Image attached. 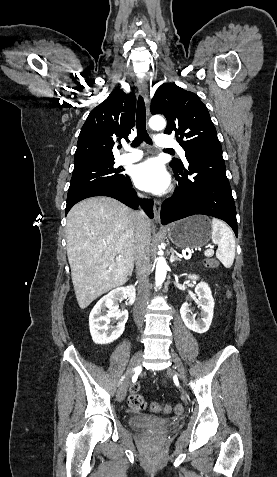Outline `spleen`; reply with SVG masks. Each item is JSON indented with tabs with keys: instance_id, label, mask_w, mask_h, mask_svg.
I'll return each instance as SVG.
<instances>
[{
	"instance_id": "obj_1",
	"label": "spleen",
	"mask_w": 277,
	"mask_h": 477,
	"mask_svg": "<svg viewBox=\"0 0 277 477\" xmlns=\"http://www.w3.org/2000/svg\"><path fill=\"white\" fill-rule=\"evenodd\" d=\"M212 242L218 245L216 257L226 268H230L235 258V238L231 229L222 221L212 219Z\"/></svg>"
}]
</instances>
